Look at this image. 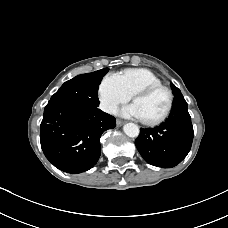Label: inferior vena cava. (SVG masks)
I'll return each instance as SVG.
<instances>
[{
	"label": "inferior vena cava",
	"instance_id": "obj_1",
	"mask_svg": "<svg viewBox=\"0 0 228 228\" xmlns=\"http://www.w3.org/2000/svg\"><path fill=\"white\" fill-rule=\"evenodd\" d=\"M101 109L106 111V112H110V113H115V111H116L115 107L106 106V105H102Z\"/></svg>",
	"mask_w": 228,
	"mask_h": 228
}]
</instances>
